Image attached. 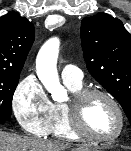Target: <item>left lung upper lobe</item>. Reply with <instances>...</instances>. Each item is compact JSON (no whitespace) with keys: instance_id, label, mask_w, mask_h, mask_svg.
Masks as SVG:
<instances>
[{"instance_id":"obj_1","label":"left lung upper lobe","mask_w":131,"mask_h":151,"mask_svg":"<svg viewBox=\"0 0 131 151\" xmlns=\"http://www.w3.org/2000/svg\"><path fill=\"white\" fill-rule=\"evenodd\" d=\"M84 59L90 74L120 103L131 123V35L106 13L81 22Z\"/></svg>"}]
</instances>
